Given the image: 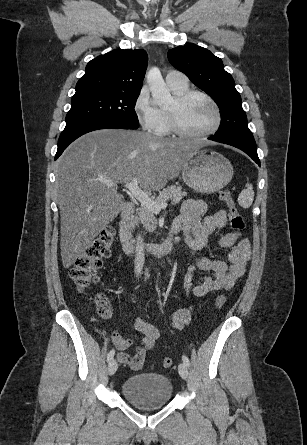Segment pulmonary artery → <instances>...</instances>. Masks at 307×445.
Instances as JSON below:
<instances>
[{"label":"pulmonary artery","mask_w":307,"mask_h":445,"mask_svg":"<svg viewBox=\"0 0 307 445\" xmlns=\"http://www.w3.org/2000/svg\"><path fill=\"white\" fill-rule=\"evenodd\" d=\"M183 73L180 69H169L166 81L169 85L186 86L188 84L187 79H182Z\"/></svg>","instance_id":"e3ab8cb5"}]
</instances>
